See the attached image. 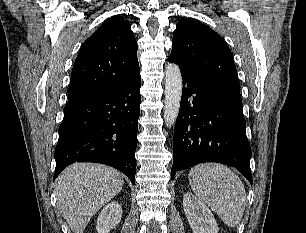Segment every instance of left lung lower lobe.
<instances>
[{
	"mask_svg": "<svg viewBox=\"0 0 306 233\" xmlns=\"http://www.w3.org/2000/svg\"><path fill=\"white\" fill-rule=\"evenodd\" d=\"M181 74L183 92L174 130L172 178L195 164L218 162L237 168L252 184L251 147L245 136L239 88Z\"/></svg>",
	"mask_w": 306,
	"mask_h": 233,
	"instance_id": "0a47b994",
	"label": "left lung lower lobe"
}]
</instances>
